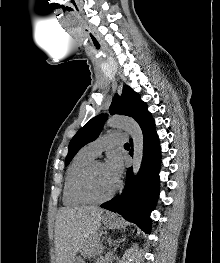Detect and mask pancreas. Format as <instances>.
<instances>
[{
  "label": "pancreas",
  "instance_id": "1",
  "mask_svg": "<svg viewBox=\"0 0 220 263\" xmlns=\"http://www.w3.org/2000/svg\"><path fill=\"white\" fill-rule=\"evenodd\" d=\"M99 234H96L90 244L88 246L84 247L83 251L86 254H91L96 252V250L99 248Z\"/></svg>",
  "mask_w": 220,
  "mask_h": 263
}]
</instances>
